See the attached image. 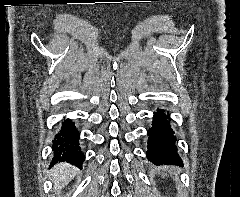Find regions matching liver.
Returning <instances> with one entry per match:
<instances>
[{"label":"liver","instance_id":"liver-1","mask_svg":"<svg viewBox=\"0 0 240 197\" xmlns=\"http://www.w3.org/2000/svg\"><path fill=\"white\" fill-rule=\"evenodd\" d=\"M76 174L77 169L66 163L55 165L50 172L56 190H60L66 186Z\"/></svg>","mask_w":240,"mask_h":197}]
</instances>
